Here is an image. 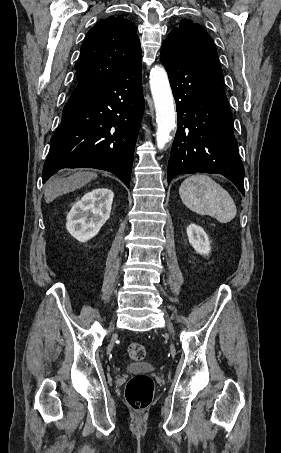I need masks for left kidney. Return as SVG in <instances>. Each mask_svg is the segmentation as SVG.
I'll return each instance as SVG.
<instances>
[{
  "instance_id": "obj_1",
  "label": "left kidney",
  "mask_w": 281,
  "mask_h": 453,
  "mask_svg": "<svg viewBox=\"0 0 281 453\" xmlns=\"http://www.w3.org/2000/svg\"><path fill=\"white\" fill-rule=\"evenodd\" d=\"M186 231L189 243L195 249L196 253H199V255H209L211 251L210 241L204 229L198 227V224H189Z\"/></svg>"
}]
</instances>
